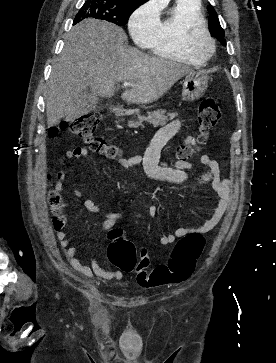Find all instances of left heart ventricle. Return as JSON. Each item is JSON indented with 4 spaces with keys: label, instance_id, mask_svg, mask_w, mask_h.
<instances>
[{
    "label": "left heart ventricle",
    "instance_id": "b2bd125f",
    "mask_svg": "<svg viewBox=\"0 0 276 363\" xmlns=\"http://www.w3.org/2000/svg\"><path fill=\"white\" fill-rule=\"evenodd\" d=\"M193 44L200 50L206 52L209 50V44L207 39L202 33H199L193 40Z\"/></svg>",
    "mask_w": 276,
    "mask_h": 363
}]
</instances>
